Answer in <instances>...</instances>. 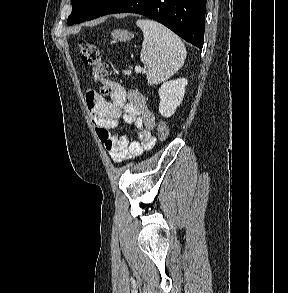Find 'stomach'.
I'll use <instances>...</instances> for the list:
<instances>
[{
    "instance_id": "0dacf381",
    "label": "stomach",
    "mask_w": 288,
    "mask_h": 293,
    "mask_svg": "<svg viewBox=\"0 0 288 293\" xmlns=\"http://www.w3.org/2000/svg\"><path fill=\"white\" fill-rule=\"evenodd\" d=\"M111 36L114 40L117 41H131L134 38V35L127 30L116 29L111 33Z\"/></svg>"
}]
</instances>
